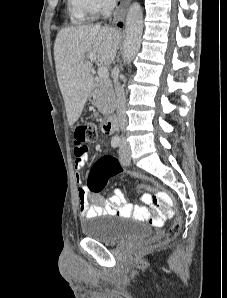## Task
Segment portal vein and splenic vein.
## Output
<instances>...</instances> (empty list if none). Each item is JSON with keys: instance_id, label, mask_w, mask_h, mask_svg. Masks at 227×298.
Listing matches in <instances>:
<instances>
[{"instance_id": "1", "label": "portal vein and splenic vein", "mask_w": 227, "mask_h": 298, "mask_svg": "<svg viewBox=\"0 0 227 298\" xmlns=\"http://www.w3.org/2000/svg\"><path fill=\"white\" fill-rule=\"evenodd\" d=\"M87 58L91 61V62H96L97 61V57L94 53H87ZM98 76L101 79H106L108 77V69L107 67H100L98 69Z\"/></svg>"}]
</instances>
